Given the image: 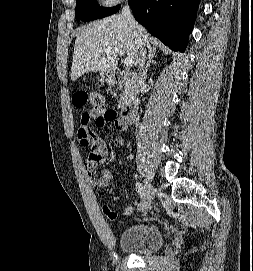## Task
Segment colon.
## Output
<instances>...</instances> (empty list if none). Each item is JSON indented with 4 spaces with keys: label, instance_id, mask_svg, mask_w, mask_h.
Segmentation results:
<instances>
[{
    "label": "colon",
    "instance_id": "obj_1",
    "mask_svg": "<svg viewBox=\"0 0 253 271\" xmlns=\"http://www.w3.org/2000/svg\"><path fill=\"white\" fill-rule=\"evenodd\" d=\"M72 101L76 106H85L86 104H90L91 106V114L99 115L103 114L104 118L108 121L116 120V112L114 110H105V98L99 92H76Z\"/></svg>",
    "mask_w": 253,
    "mask_h": 271
}]
</instances>
